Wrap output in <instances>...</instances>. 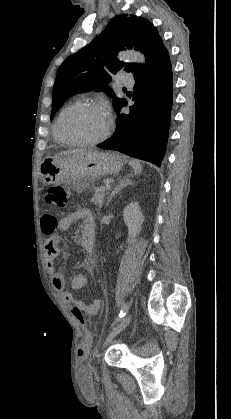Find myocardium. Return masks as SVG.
<instances>
[{"label":"myocardium","mask_w":231,"mask_h":419,"mask_svg":"<svg viewBox=\"0 0 231 419\" xmlns=\"http://www.w3.org/2000/svg\"><path fill=\"white\" fill-rule=\"evenodd\" d=\"M83 109L99 110V111H102L107 117V127H106L105 131L100 136H98L97 138L87 139V140L78 139V138H74V137L70 136L64 130L65 119L70 114H72L76 111H79V110H83ZM58 129H59V133L62 136V138L70 144H74V145H96V144L101 143L105 139H107L108 136L110 135L111 130H112V120L109 116V113L107 112V110L102 105L97 104V103L83 102V103H79V104H76V105L70 107L69 109H67L62 114V116L59 119Z\"/></svg>","instance_id":"obj_1"}]
</instances>
